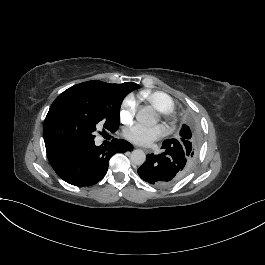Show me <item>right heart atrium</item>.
I'll use <instances>...</instances> for the list:
<instances>
[{
	"label": "right heart atrium",
	"mask_w": 265,
	"mask_h": 265,
	"mask_svg": "<svg viewBox=\"0 0 265 265\" xmlns=\"http://www.w3.org/2000/svg\"><path fill=\"white\" fill-rule=\"evenodd\" d=\"M139 107V100L132 94L128 95L121 107V119L124 122L130 121L136 114Z\"/></svg>",
	"instance_id": "1"
}]
</instances>
